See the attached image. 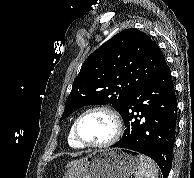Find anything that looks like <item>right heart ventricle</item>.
Returning <instances> with one entry per match:
<instances>
[{
	"instance_id": "e07e8e85",
	"label": "right heart ventricle",
	"mask_w": 194,
	"mask_h": 178,
	"mask_svg": "<svg viewBox=\"0 0 194 178\" xmlns=\"http://www.w3.org/2000/svg\"><path fill=\"white\" fill-rule=\"evenodd\" d=\"M67 142H68V145L73 148V149H82L84 148L83 146H81L73 137V133H72V126L68 132V136H67Z\"/></svg>"
}]
</instances>
